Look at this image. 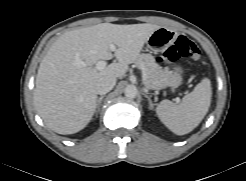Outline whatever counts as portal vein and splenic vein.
<instances>
[{"mask_svg":"<svg viewBox=\"0 0 246 181\" xmlns=\"http://www.w3.org/2000/svg\"><path fill=\"white\" fill-rule=\"evenodd\" d=\"M110 50L111 51H115L116 50V46L114 44H110ZM106 65H107V62L106 61L100 60V61H98L96 63V68L98 70H102V69H104L106 67Z\"/></svg>","mask_w":246,"mask_h":181,"instance_id":"portal-vein-and-splenic-vein-1","label":"portal vein and splenic vein"}]
</instances>
